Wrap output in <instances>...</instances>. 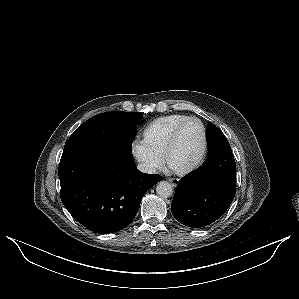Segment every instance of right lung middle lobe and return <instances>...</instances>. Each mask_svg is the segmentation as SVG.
Masks as SVG:
<instances>
[{"instance_id":"1","label":"right lung middle lobe","mask_w":299,"mask_h":299,"mask_svg":"<svg viewBox=\"0 0 299 299\" xmlns=\"http://www.w3.org/2000/svg\"><path fill=\"white\" fill-rule=\"evenodd\" d=\"M141 112H105L91 117L75 130L69 140L85 139L116 144L131 151L135 127Z\"/></svg>"}]
</instances>
